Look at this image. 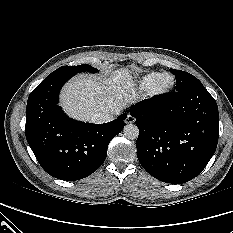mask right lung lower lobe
Wrapping results in <instances>:
<instances>
[{
	"label": "right lung lower lobe",
	"mask_w": 233,
	"mask_h": 233,
	"mask_svg": "<svg viewBox=\"0 0 233 233\" xmlns=\"http://www.w3.org/2000/svg\"><path fill=\"white\" fill-rule=\"evenodd\" d=\"M72 75L39 84L29 95L25 134L36 159L51 176L79 180L96 171L107 156L109 142L124 127L126 114L104 124L73 120L58 106L60 89Z\"/></svg>",
	"instance_id": "98d812e1"
}]
</instances>
